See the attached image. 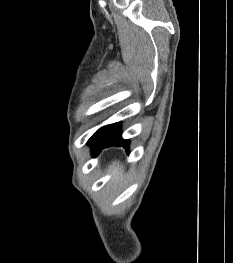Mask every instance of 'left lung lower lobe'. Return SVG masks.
I'll use <instances>...</instances> for the list:
<instances>
[{
	"label": "left lung lower lobe",
	"instance_id": "1",
	"mask_svg": "<svg viewBox=\"0 0 233 263\" xmlns=\"http://www.w3.org/2000/svg\"><path fill=\"white\" fill-rule=\"evenodd\" d=\"M92 148L93 156H97L102 149L109 146H123L129 152L128 140L121 138L120 124L114 123L100 128L88 141Z\"/></svg>",
	"mask_w": 233,
	"mask_h": 263
}]
</instances>
